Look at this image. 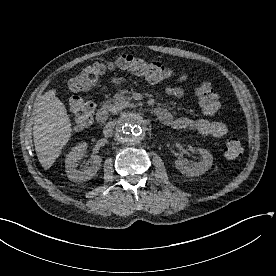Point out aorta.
Listing matches in <instances>:
<instances>
[{"label": "aorta", "instance_id": "aorta-1", "mask_svg": "<svg viewBox=\"0 0 276 276\" xmlns=\"http://www.w3.org/2000/svg\"><path fill=\"white\" fill-rule=\"evenodd\" d=\"M145 125L137 113H129L122 117L117 127V136L123 144L139 143L144 136Z\"/></svg>", "mask_w": 276, "mask_h": 276}]
</instances>
